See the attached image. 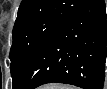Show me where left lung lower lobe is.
I'll return each instance as SVG.
<instances>
[{
  "mask_svg": "<svg viewBox=\"0 0 107 89\" xmlns=\"http://www.w3.org/2000/svg\"><path fill=\"white\" fill-rule=\"evenodd\" d=\"M106 46V3L88 0L43 43L13 89L51 82L102 89Z\"/></svg>",
  "mask_w": 107,
  "mask_h": 89,
  "instance_id": "1",
  "label": "left lung lower lobe"
}]
</instances>
